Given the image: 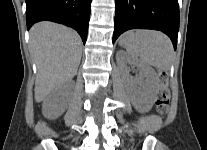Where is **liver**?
Returning a JSON list of instances; mask_svg holds the SVG:
<instances>
[{"instance_id": "1", "label": "liver", "mask_w": 207, "mask_h": 150, "mask_svg": "<svg viewBox=\"0 0 207 150\" xmlns=\"http://www.w3.org/2000/svg\"><path fill=\"white\" fill-rule=\"evenodd\" d=\"M30 50L37 66L35 100L41 102L60 84L77 73L82 42L72 29L40 22L30 30Z\"/></svg>"}]
</instances>
